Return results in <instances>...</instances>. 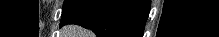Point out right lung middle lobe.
Listing matches in <instances>:
<instances>
[{
    "instance_id": "dd1d6c3e",
    "label": "right lung middle lobe",
    "mask_w": 219,
    "mask_h": 37,
    "mask_svg": "<svg viewBox=\"0 0 219 37\" xmlns=\"http://www.w3.org/2000/svg\"><path fill=\"white\" fill-rule=\"evenodd\" d=\"M73 2H75V0H65L63 4V10L70 6Z\"/></svg>"
}]
</instances>
